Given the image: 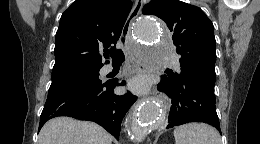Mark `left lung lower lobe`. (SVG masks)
I'll list each match as a JSON object with an SVG mask.
<instances>
[{
	"label": "left lung lower lobe",
	"mask_w": 260,
	"mask_h": 144,
	"mask_svg": "<svg viewBox=\"0 0 260 144\" xmlns=\"http://www.w3.org/2000/svg\"><path fill=\"white\" fill-rule=\"evenodd\" d=\"M166 73L158 84V90L170 99L166 128L189 122H203L220 131L214 85L193 74H184L181 78L174 79L171 73Z\"/></svg>",
	"instance_id": "left-lung-lower-lobe-1"
}]
</instances>
